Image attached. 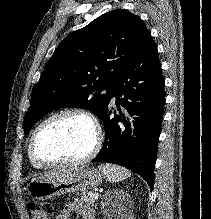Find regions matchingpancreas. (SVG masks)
I'll return each mask as SVG.
<instances>
[{"label": "pancreas", "instance_id": "cf45deb5", "mask_svg": "<svg viewBox=\"0 0 211 219\" xmlns=\"http://www.w3.org/2000/svg\"><path fill=\"white\" fill-rule=\"evenodd\" d=\"M80 203H85L88 206H94L95 199L93 198V193L88 192V193H82L80 195Z\"/></svg>", "mask_w": 211, "mask_h": 219}]
</instances>
